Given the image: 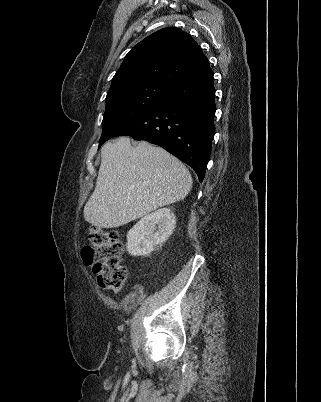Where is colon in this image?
I'll list each match as a JSON object with an SVG mask.
<instances>
[{
  "label": "colon",
  "mask_w": 321,
  "mask_h": 402,
  "mask_svg": "<svg viewBox=\"0 0 321 402\" xmlns=\"http://www.w3.org/2000/svg\"><path fill=\"white\" fill-rule=\"evenodd\" d=\"M123 244L117 233L99 227L89 229V242L82 249L85 264L93 265L97 280L105 290L119 291L126 278L127 268L120 262Z\"/></svg>",
  "instance_id": "colon-1"
}]
</instances>
